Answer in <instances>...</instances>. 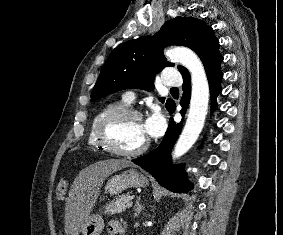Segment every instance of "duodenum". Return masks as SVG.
<instances>
[{
    "label": "duodenum",
    "instance_id": "duodenum-1",
    "mask_svg": "<svg viewBox=\"0 0 283 235\" xmlns=\"http://www.w3.org/2000/svg\"><path fill=\"white\" fill-rule=\"evenodd\" d=\"M121 232H123V228H121Z\"/></svg>",
    "mask_w": 283,
    "mask_h": 235
}]
</instances>
